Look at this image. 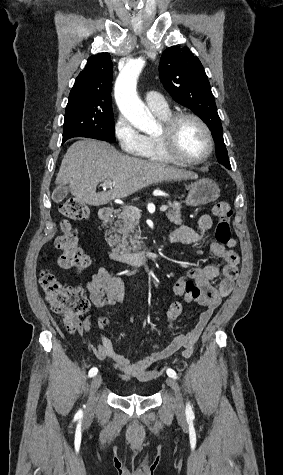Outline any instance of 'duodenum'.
<instances>
[{
	"label": "duodenum",
	"mask_w": 283,
	"mask_h": 475,
	"mask_svg": "<svg viewBox=\"0 0 283 475\" xmlns=\"http://www.w3.org/2000/svg\"><path fill=\"white\" fill-rule=\"evenodd\" d=\"M113 216L110 208H101L98 211L97 218L103 224L107 225ZM153 254V248L143 249L136 252H128L121 250H112L108 252L109 257L118 262L127 264H144L147 263Z\"/></svg>",
	"instance_id": "obj_1"
}]
</instances>
